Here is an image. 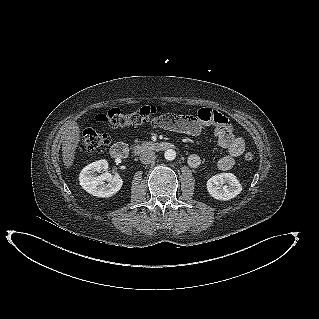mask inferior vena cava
Listing matches in <instances>:
<instances>
[{
	"instance_id": "602c4592",
	"label": "inferior vena cava",
	"mask_w": 319,
	"mask_h": 319,
	"mask_svg": "<svg viewBox=\"0 0 319 319\" xmlns=\"http://www.w3.org/2000/svg\"><path fill=\"white\" fill-rule=\"evenodd\" d=\"M156 155L153 151H145L140 155V161L142 164H150L154 162Z\"/></svg>"
}]
</instances>
